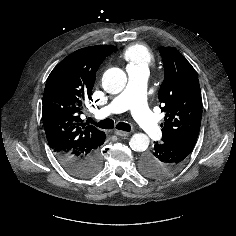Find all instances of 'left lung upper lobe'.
Here are the masks:
<instances>
[{
    "label": "left lung upper lobe",
    "instance_id": "left-lung-upper-lobe-1",
    "mask_svg": "<svg viewBox=\"0 0 236 236\" xmlns=\"http://www.w3.org/2000/svg\"><path fill=\"white\" fill-rule=\"evenodd\" d=\"M164 81L158 98L166 112L161 124L163 143L197 138L202 118V99L197 74L192 65L172 47H161Z\"/></svg>",
    "mask_w": 236,
    "mask_h": 236
}]
</instances>
